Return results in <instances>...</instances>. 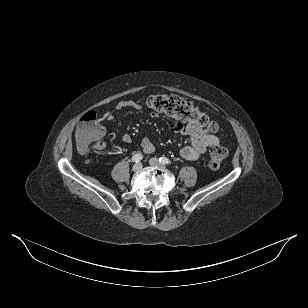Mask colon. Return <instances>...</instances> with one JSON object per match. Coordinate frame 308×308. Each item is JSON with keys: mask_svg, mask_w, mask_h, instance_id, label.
<instances>
[{"mask_svg": "<svg viewBox=\"0 0 308 308\" xmlns=\"http://www.w3.org/2000/svg\"><path fill=\"white\" fill-rule=\"evenodd\" d=\"M146 105L157 114H166L181 122L197 126L208 132L218 129L217 123L191 103L175 95L157 94L146 99ZM104 127L101 119L94 111L86 112L80 119L76 131V143L82 152L90 149H99L104 137ZM227 156V150L221 145L211 147L209 153V166L218 169L222 166Z\"/></svg>", "mask_w": 308, "mask_h": 308, "instance_id": "5ec220e1", "label": "colon"}]
</instances>
